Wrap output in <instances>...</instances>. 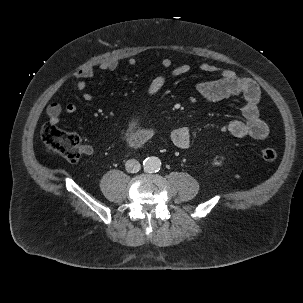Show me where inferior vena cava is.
<instances>
[{
    "label": "inferior vena cava",
    "mask_w": 303,
    "mask_h": 303,
    "mask_svg": "<svg viewBox=\"0 0 303 303\" xmlns=\"http://www.w3.org/2000/svg\"><path fill=\"white\" fill-rule=\"evenodd\" d=\"M125 168L128 173H137L140 170L141 165H140L139 161H137L135 159H129L125 163Z\"/></svg>",
    "instance_id": "602c4592"
}]
</instances>
